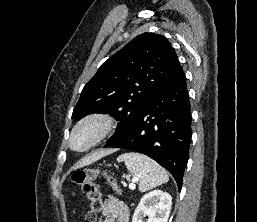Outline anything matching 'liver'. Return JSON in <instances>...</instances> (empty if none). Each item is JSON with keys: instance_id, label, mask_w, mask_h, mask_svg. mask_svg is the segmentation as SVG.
I'll use <instances>...</instances> for the list:
<instances>
[{"instance_id": "obj_1", "label": "liver", "mask_w": 257, "mask_h": 222, "mask_svg": "<svg viewBox=\"0 0 257 222\" xmlns=\"http://www.w3.org/2000/svg\"><path fill=\"white\" fill-rule=\"evenodd\" d=\"M111 152H112V150H105V151H100V152L94 153V154H92L90 156H87L86 158L82 159L78 163V165H76V168L88 165V164H90V163L100 159L101 157L110 154Z\"/></svg>"}]
</instances>
